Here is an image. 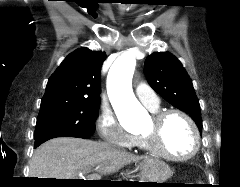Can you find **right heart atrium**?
<instances>
[{
    "instance_id": "d8ad5b80",
    "label": "right heart atrium",
    "mask_w": 240,
    "mask_h": 187,
    "mask_svg": "<svg viewBox=\"0 0 240 187\" xmlns=\"http://www.w3.org/2000/svg\"><path fill=\"white\" fill-rule=\"evenodd\" d=\"M96 124L99 136L105 143L124 148L136 145L137 138L123 130L112 111L103 110Z\"/></svg>"
}]
</instances>
